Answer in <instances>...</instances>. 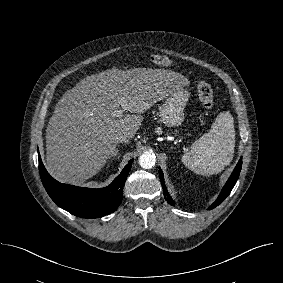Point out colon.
I'll return each mask as SVG.
<instances>
[{
    "instance_id": "5ec220e1",
    "label": "colon",
    "mask_w": 283,
    "mask_h": 283,
    "mask_svg": "<svg viewBox=\"0 0 283 283\" xmlns=\"http://www.w3.org/2000/svg\"><path fill=\"white\" fill-rule=\"evenodd\" d=\"M151 61L160 66H169L171 61L168 57L154 54L151 56ZM198 97L204 108L210 110L214 106V95L211 86L203 80L198 81L196 85Z\"/></svg>"
}]
</instances>
